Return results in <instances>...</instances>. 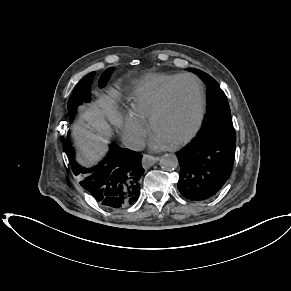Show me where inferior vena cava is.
<instances>
[{"label": "inferior vena cava", "mask_w": 291, "mask_h": 291, "mask_svg": "<svg viewBox=\"0 0 291 291\" xmlns=\"http://www.w3.org/2000/svg\"><path fill=\"white\" fill-rule=\"evenodd\" d=\"M122 142L126 148L132 150H143L145 148V141L140 135L124 136Z\"/></svg>", "instance_id": "1"}]
</instances>
